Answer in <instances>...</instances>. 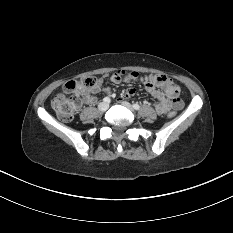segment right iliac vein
Instances as JSON below:
<instances>
[{
  "label": "right iliac vein",
  "mask_w": 233,
  "mask_h": 233,
  "mask_svg": "<svg viewBox=\"0 0 233 233\" xmlns=\"http://www.w3.org/2000/svg\"><path fill=\"white\" fill-rule=\"evenodd\" d=\"M100 111H106L109 108V104L106 102H102L98 105Z\"/></svg>",
  "instance_id": "obj_1"
}]
</instances>
